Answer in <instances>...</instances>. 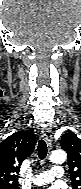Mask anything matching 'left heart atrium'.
Here are the masks:
<instances>
[{
    "label": "left heart atrium",
    "mask_w": 81,
    "mask_h": 189,
    "mask_svg": "<svg viewBox=\"0 0 81 189\" xmlns=\"http://www.w3.org/2000/svg\"><path fill=\"white\" fill-rule=\"evenodd\" d=\"M48 189H60L59 187H56V186H53V187H50Z\"/></svg>",
    "instance_id": "left-heart-atrium-1"
}]
</instances>
